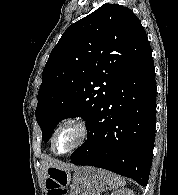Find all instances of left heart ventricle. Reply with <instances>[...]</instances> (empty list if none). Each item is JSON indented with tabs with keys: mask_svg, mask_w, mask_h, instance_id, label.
I'll return each mask as SVG.
<instances>
[{
	"mask_svg": "<svg viewBox=\"0 0 178 195\" xmlns=\"http://www.w3.org/2000/svg\"><path fill=\"white\" fill-rule=\"evenodd\" d=\"M79 138V131L73 126L61 129L56 135L54 149L56 152H63L72 147Z\"/></svg>",
	"mask_w": 178,
	"mask_h": 195,
	"instance_id": "left-heart-ventricle-1",
	"label": "left heart ventricle"
}]
</instances>
